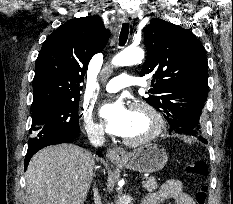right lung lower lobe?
<instances>
[{
	"instance_id": "right-lung-lower-lobe-1",
	"label": "right lung lower lobe",
	"mask_w": 233,
	"mask_h": 204,
	"mask_svg": "<svg viewBox=\"0 0 233 204\" xmlns=\"http://www.w3.org/2000/svg\"><path fill=\"white\" fill-rule=\"evenodd\" d=\"M79 138V135H64V136H60V137H57L55 139H53L51 142H49L47 145H45L44 147L46 146H49V145H53V144H59V143H71L72 141L76 140ZM42 149V148H41ZM40 150V149H39ZM37 150V151H39ZM37 151H27V154L25 156V170L28 166V163L31 159V157L37 152ZM97 154L102 157V153L101 152H97Z\"/></svg>"
}]
</instances>
